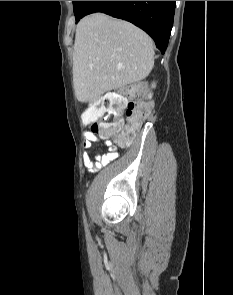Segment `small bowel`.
Here are the masks:
<instances>
[{
    "label": "small bowel",
    "mask_w": 233,
    "mask_h": 295,
    "mask_svg": "<svg viewBox=\"0 0 233 295\" xmlns=\"http://www.w3.org/2000/svg\"><path fill=\"white\" fill-rule=\"evenodd\" d=\"M99 142V138L92 132H87L85 134V139L83 142V147L85 150H88L92 147L93 143ZM118 150L114 147H110L108 151L101 154H94L90 156L86 151L83 153V161L86 165L89 172H96L102 167L109 164L111 161L115 160L118 157Z\"/></svg>",
    "instance_id": "1"
}]
</instances>
